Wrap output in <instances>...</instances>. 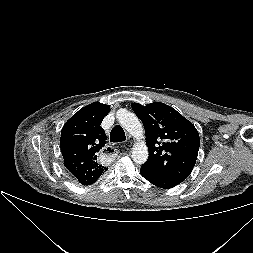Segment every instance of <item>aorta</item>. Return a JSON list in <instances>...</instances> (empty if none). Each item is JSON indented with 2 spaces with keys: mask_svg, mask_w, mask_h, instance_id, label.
<instances>
[{
  "mask_svg": "<svg viewBox=\"0 0 253 253\" xmlns=\"http://www.w3.org/2000/svg\"><path fill=\"white\" fill-rule=\"evenodd\" d=\"M117 119L120 125L129 132L133 137L139 140L132 150V159L137 164H143L148 159V148L142 139L144 138V130L140 120L132 112L126 109L117 111Z\"/></svg>",
  "mask_w": 253,
  "mask_h": 253,
  "instance_id": "aorta-1",
  "label": "aorta"
}]
</instances>
